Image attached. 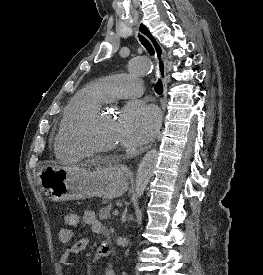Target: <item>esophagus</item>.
<instances>
[{
    "label": "esophagus",
    "mask_w": 263,
    "mask_h": 275,
    "mask_svg": "<svg viewBox=\"0 0 263 275\" xmlns=\"http://www.w3.org/2000/svg\"><path fill=\"white\" fill-rule=\"evenodd\" d=\"M138 31L144 35L151 45L154 48L155 51V56H156V61H157V70L159 73L160 78L162 79L163 82V99L161 101V108H162V117L165 112L166 108V102H167V91H168V83H169V75L167 73V56H166V51L162 47V45L159 43L157 38L153 35V33L150 31V29L143 23L140 22L137 25ZM154 140L146 146L145 149H148L152 146Z\"/></svg>",
    "instance_id": "34e87169"
}]
</instances>
